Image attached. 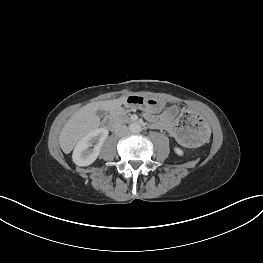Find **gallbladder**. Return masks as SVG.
Segmentation results:
<instances>
[{
    "label": "gallbladder",
    "mask_w": 263,
    "mask_h": 263,
    "mask_svg": "<svg viewBox=\"0 0 263 263\" xmlns=\"http://www.w3.org/2000/svg\"><path fill=\"white\" fill-rule=\"evenodd\" d=\"M96 114L99 118H103L106 115V112L103 110H98Z\"/></svg>",
    "instance_id": "bac80fb5"
}]
</instances>
